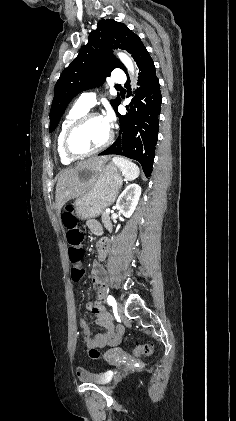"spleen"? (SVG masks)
<instances>
[{
    "label": "spleen",
    "instance_id": "1",
    "mask_svg": "<svg viewBox=\"0 0 236 421\" xmlns=\"http://www.w3.org/2000/svg\"><path fill=\"white\" fill-rule=\"evenodd\" d=\"M113 162L122 170V174L125 176L126 180H134V178H137L140 174L139 166H137L135 162H132V160H128V158L114 156Z\"/></svg>",
    "mask_w": 236,
    "mask_h": 421
}]
</instances>
